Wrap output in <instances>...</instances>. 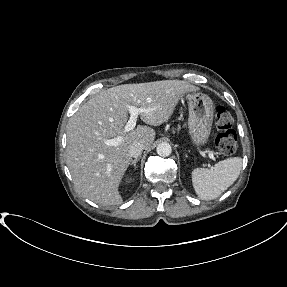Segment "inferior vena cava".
Returning a JSON list of instances; mask_svg holds the SVG:
<instances>
[{"instance_id": "602c4592", "label": "inferior vena cava", "mask_w": 287, "mask_h": 287, "mask_svg": "<svg viewBox=\"0 0 287 287\" xmlns=\"http://www.w3.org/2000/svg\"><path fill=\"white\" fill-rule=\"evenodd\" d=\"M144 148L145 146L142 143H133L129 148V154L131 157L137 158L141 155Z\"/></svg>"}]
</instances>
